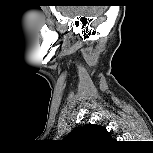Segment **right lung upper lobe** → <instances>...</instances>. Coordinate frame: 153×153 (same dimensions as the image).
<instances>
[{"mask_svg": "<svg viewBox=\"0 0 153 153\" xmlns=\"http://www.w3.org/2000/svg\"><path fill=\"white\" fill-rule=\"evenodd\" d=\"M65 139L82 147H94L112 140L104 127L94 124L74 128Z\"/></svg>", "mask_w": 153, "mask_h": 153, "instance_id": "cb5924a9", "label": "right lung upper lobe"}]
</instances>
